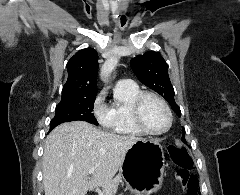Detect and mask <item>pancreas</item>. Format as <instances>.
Masks as SVG:
<instances>
[{"label":"pancreas","instance_id":"pancreas-1","mask_svg":"<svg viewBox=\"0 0 240 195\" xmlns=\"http://www.w3.org/2000/svg\"><path fill=\"white\" fill-rule=\"evenodd\" d=\"M116 189H111V191H109L110 195H113V193H115ZM108 193V195H109Z\"/></svg>","mask_w":240,"mask_h":195}]
</instances>
